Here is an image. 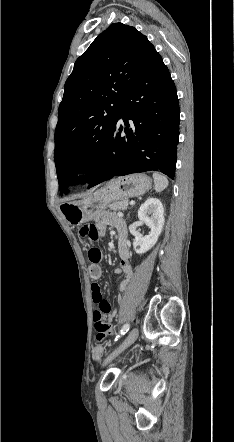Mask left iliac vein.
<instances>
[{"mask_svg": "<svg viewBox=\"0 0 234 442\" xmlns=\"http://www.w3.org/2000/svg\"><path fill=\"white\" fill-rule=\"evenodd\" d=\"M139 330L137 327L133 328L125 340L105 359L104 365L111 362L116 356L123 352L126 348L132 345L138 338Z\"/></svg>", "mask_w": 234, "mask_h": 442, "instance_id": "left-iliac-vein-1", "label": "left iliac vein"}]
</instances>
